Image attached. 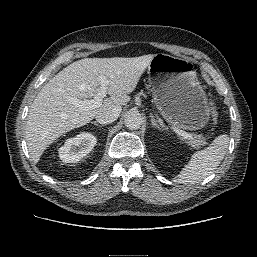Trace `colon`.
<instances>
[{
	"label": "colon",
	"instance_id": "1",
	"mask_svg": "<svg viewBox=\"0 0 257 257\" xmlns=\"http://www.w3.org/2000/svg\"><path fill=\"white\" fill-rule=\"evenodd\" d=\"M209 109H210V114H211V120L213 123H216L217 119H218V113H217L214 103H212V102L209 103Z\"/></svg>",
	"mask_w": 257,
	"mask_h": 257
}]
</instances>
